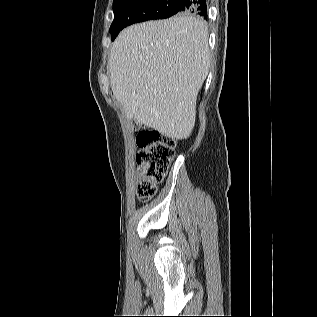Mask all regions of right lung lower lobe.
Returning a JSON list of instances; mask_svg holds the SVG:
<instances>
[{
  "label": "right lung lower lobe",
  "mask_w": 317,
  "mask_h": 317,
  "mask_svg": "<svg viewBox=\"0 0 317 317\" xmlns=\"http://www.w3.org/2000/svg\"><path fill=\"white\" fill-rule=\"evenodd\" d=\"M175 3L179 7V13L190 12L207 19L206 0H177Z\"/></svg>",
  "instance_id": "right-lung-lower-lobe-1"
}]
</instances>
